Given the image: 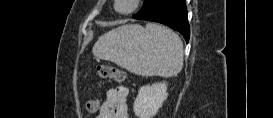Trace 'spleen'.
<instances>
[{
  "mask_svg": "<svg viewBox=\"0 0 273 118\" xmlns=\"http://www.w3.org/2000/svg\"><path fill=\"white\" fill-rule=\"evenodd\" d=\"M93 54L141 76L171 77L183 67V43L164 26L128 24L102 35Z\"/></svg>",
  "mask_w": 273,
  "mask_h": 118,
  "instance_id": "obj_1",
  "label": "spleen"
}]
</instances>
